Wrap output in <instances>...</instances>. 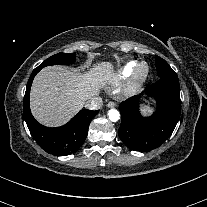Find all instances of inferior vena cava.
Listing matches in <instances>:
<instances>
[{"mask_svg":"<svg viewBox=\"0 0 207 207\" xmlns=\"http://www.w3.org/2000/svg\"><path fill=\"white\" fill-rule=\"evenodd\" d=\"M103 101L99 96H94L85 102V107L90 110H98L102 107Z\"/></svg>","mask_w":207,"mask_h":207,"instance_id":"obj_1","label":"inferior vena cava"}]
</instances>
